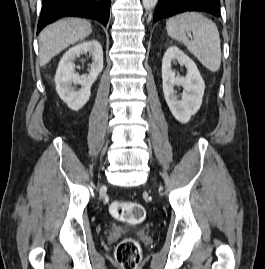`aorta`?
Instances as JSON below:
<instances>
[{"mask_svg":"<svg viewBox=\"0 0 265 269\" xmlns=\"http://www.w3.org/2000/svg\"><path fill=\"white\" fill-rule=\"evenodd\" d=\"M157 2H158V0H142L143 7L146 10L153 9L156 6Z\"/></svg>","mask_w":265,"mask_h":269,"instance_id":"762f6f07","label":"aorta"}]
</instances>
